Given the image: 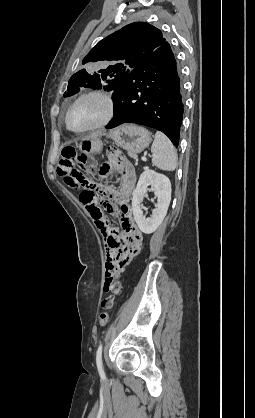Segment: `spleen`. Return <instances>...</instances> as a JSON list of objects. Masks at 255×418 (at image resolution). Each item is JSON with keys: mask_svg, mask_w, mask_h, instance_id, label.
Returning <instances> with one entry per match:
<instances>
[{"mask_svg": "<svg viewBox=\"0 0 255 418\" xmlns=\"http://www.w3.org/2000/svg\"><path fill=\"white\" fill-rule=\"evenodd\" d=\"M152 163L165 171H174L177 167V153L168 137L160 131L155 133L151 147Z\"/></svg>", "mask_w": 255, "mask_h": 418, "instance_id": "3e777b00", "label": "spleen"}]
</instances>
